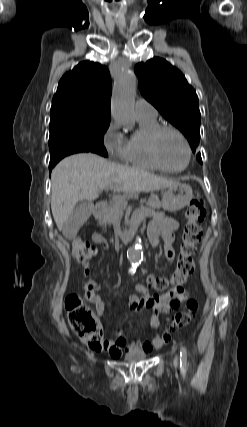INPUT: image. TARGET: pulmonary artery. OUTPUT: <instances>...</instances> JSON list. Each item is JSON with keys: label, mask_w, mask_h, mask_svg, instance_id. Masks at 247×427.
Returning a JSON list of instances; mask_svg holds the SVG:
<instances>
[{"label": "pulmonary artery", "mask_w": 247, "mask_h": 427, "mask_svg": "<svg viewBox=\"0 0 247 427\" xmlns=\"http://www.w3.org/2000/svg\"><path fill=\"white\" fill-rule=\"evenodd\" d=\"M135 113L137 118H155L157 116L155 107L143 98L136 101Z\"/></svg>", "instance_id": "obj_1"}]
</instances>
